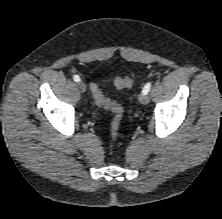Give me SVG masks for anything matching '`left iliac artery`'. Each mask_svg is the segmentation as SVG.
I'll list each match as a JSON object with an SVG mask.
<instances>
[{"label": "left iliac artery", "mask_w": 222, "mask_h": 219, "mask_svg": "<svg viewBox=\"0 0 222 219\" xmlns=\"http://www.w3.org/2000/svg\"><path fill=\"white\" fill-rule=\"evenodd\" d=\"M151 83H147L142 90V93L147 94L150 91Z\"/></svg>", "instance_id": "left-iliac-artery-1"}]
</instances>
